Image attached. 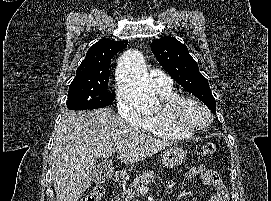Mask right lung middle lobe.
Masks as SVG:
<instances>
[{
	"mask_svg": "<svg viewBox=\"0 0 271 201\" xmlns=\"http://www.w3.org/2000/svg\"><path fill=\"white\" fill-rule=\"evenodd\" d=\"M109 74L76 76L69 86L66 105L71 110L98 109L110 105L115 96L108 91Z\"/></svg>",
	"mask_w": 271,
	"mask_h": 201,
	"instance_id": "1",
	"label": "right lung middle lobe"
}]
</instances>
